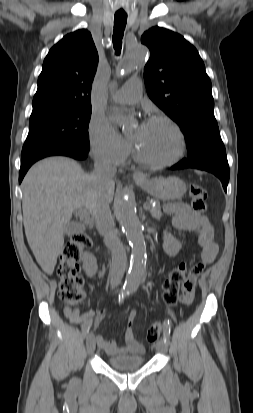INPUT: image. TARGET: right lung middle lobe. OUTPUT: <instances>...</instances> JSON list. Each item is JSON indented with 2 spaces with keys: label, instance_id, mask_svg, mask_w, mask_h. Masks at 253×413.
Here are the masks:
<instances>
[{
  "label": "right lung middle lobe",
  "instance_id": "right-lung-middle-lobe-1",
  "mask_svg": "<svg viewBox=\"0 0 253 413\" xmlns=\"http://www.w3.org/2000/svg\"><path fill=\"white\" fill-rule=\"evenodd\" d=\"M91 106L48 108L32 112L21 157L58 149L89 151Z\"/></svg>",
  "mask_w": 253,
  "mask_h": 413
}]
</instances>
